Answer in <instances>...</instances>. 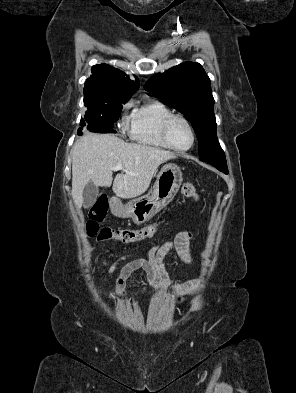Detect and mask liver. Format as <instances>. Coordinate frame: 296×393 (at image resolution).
Here are the masks:
<instances>
[{"label": "liver", "mask_w": 296, "mask_h": 393, "mask_svg": "<svg viewBox=\"0 0 296 393\" xmlns=\"http://www.w3.org/2000/svg\"><path fill=\"white\" fill-rule=\"evenodd\" d=\"M172 152L147 145L126 143L111 134L86 132L72 149V198L77 207L83 203V190L91 182L95 186L109 187L113 181V168L122 164L112 190L117 197L134 198L149 187L160 164L175 159Z\"/></svg>", "instance_id": "1"}]
</instances>
